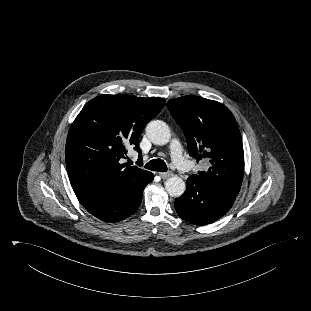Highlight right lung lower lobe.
Segmentation results:
<instances>
[{"mask_svg":"<svg viewBox=\"0 0 311 311\" xmlns=\"http://www.w3.org/2000/svg\"><path fill=\"white\" fill-rule=\"evenodd\" d=\"M154 175L131 194H113L102 191L75 192L83 207L96 218L104 222H119L138 209L145 186L150 183Z\"/></svg>","mask_w":311,"mask_h":311,"instance_id":"98d812e1","label":"right lung lower lobe"}]
</instances>
